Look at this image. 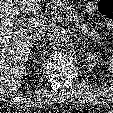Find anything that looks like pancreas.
Masks as SVG:
<instances>
[{
    "label": "pancreas",
    "mask_w": 113,
    "mask_h": 113,
    "mask_svg": "<svg viewBox=\"0 0 113 113\" xmlns=\"http://www.w3.org/2000/svg\"><path fill=\"white\" fill-rule=\"evenodd\" d=\"M53 10L60 8H68L67 15L76 25V27L81 30L86 36L92 38V40L96 43H100L101 36L95 30H91L87 27L86 24L83 23V18L79 14V12L73 7L68 6V4L62 0H54V3L50 6Z\"/></svg>",
    "instance_id": "obj_1"
}]
</instances>
